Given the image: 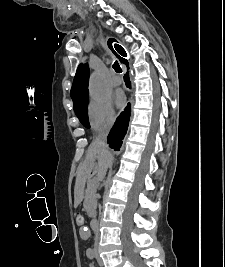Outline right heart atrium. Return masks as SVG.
<instances>
[{
	"mask_svg": "<svg viewBox=\"0 0 225 267\" xmlns=\"http://www.w3.org/2000/svg\"><path fill=\"white\" fill-rule=\"evenodd\" d=\"M88 118L93 131L110 128L115 121V111L109 98H92L88 105Z\"/></svg>",
	"mask_w": 225,
	"mask_h": 267,
	"instance_id": "1",
	"label": "right heart atrium"
}]
</instances>
